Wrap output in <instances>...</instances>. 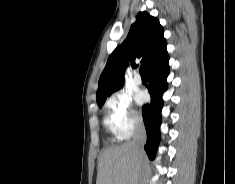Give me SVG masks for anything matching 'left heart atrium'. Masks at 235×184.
<instances>
[{
	"label": "left heart atrium",
	"mask_w": 235,
	"mask_h": 184,
	"mask_svg": "<svg viewBox=\"0 0 235 184\" xmlns=\"http://www.w3.org/2000/svg\"><path fill=\"white\" fill-rule=\"evenodd\" d=\"M134 99H135V102H136L138 105H140V104H142V103L144 102V96H143V94L140 93V92H138V93L135 94Z\"/></svg>",
	"instance_id": "left-heart-atrium-1"
}]
</instances>
